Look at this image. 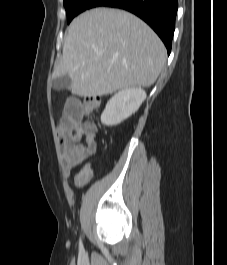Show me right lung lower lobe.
<instances>
[{
  "mask_svg": "<svg viewBox=\"0 0 227 265\" xmlns=\"http://www.w3.org/2000/svg\"><path fill=\"white\" fill-rule=\"evenodd\" d=\"M106 6L127 10L143 19L171 52L178 0H94L90 8Z\"/></svg>",
  "mask_w": 227,
  "mask_h": 265,
  "instance_id": "98d812e1",
  "label": "right lung lower lobe"
}]
</instances>
